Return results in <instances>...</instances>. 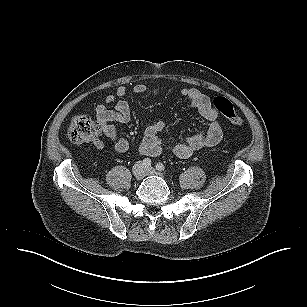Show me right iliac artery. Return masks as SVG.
I'll return each instance as SVG.
<instances>
[{"label":"right iliac artery","mask_w":307,"mask_h":307,"mask_svg":"<svg viewBox=\"0 0 307 307\" xmlns=\"http://www.w3.org/2000/svg\"><path fill=\"white\" fill-rule=\"evenodd\" d=\"M142 163L145 167H149L152 164L151 159L149 158H145Z\"/></svg>","instance_id":"1"}]
</instances>
